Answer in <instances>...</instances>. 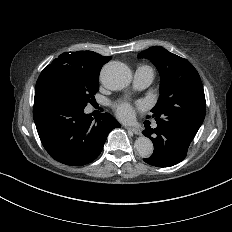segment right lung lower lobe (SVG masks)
<instances>
[{"mask_svg":"<svg viewBox=\"0 0 232 232\" xmlns=\"http://www.w3.org/2000/svg\"><path fill=\"white\" fill-rule=\"evenodd\" d=\"M56 91L35 88L33 118L40 140L52 158L83 166L101 153L109 132L121 125L109 113L93 119Z\"/></svg>","mask_w":232,"mask_h":232,"instance_id":"right-lung-lower-lobe-1","label":"right lung lower lobe"}]
</instances>
